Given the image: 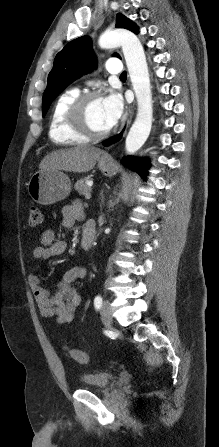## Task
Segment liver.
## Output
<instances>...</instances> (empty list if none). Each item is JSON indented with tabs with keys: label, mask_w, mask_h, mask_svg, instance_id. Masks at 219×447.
<instances>
[{
	"label": "liver",
	"mask_w": 219,
	"mask_h": 447,
	"mask_svg": "<svg viewBox=\"0 0 219 447\" xmlns=\"http://www.w3.org/2000/svg\"><path fill=\"white\" fill-rule=\"evenodd\" d=\"M103 151L89 146H77L69 149H60L47 154L41 161V170H63L67 172H88L96 164Z\"/></svg>",
	"instance_id": "6515ba94"
}]
</instances>
